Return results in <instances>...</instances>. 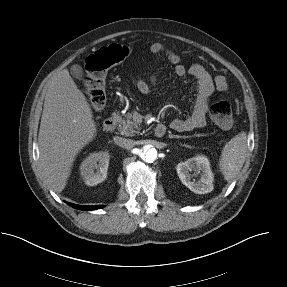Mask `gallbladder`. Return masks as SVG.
<instances>
[{"label":"gallbladder","instance_id":"bac80fb5","mask_svg":"<svg viewBox=\"0 0 287 287\" xmlns=\"http://www.w3.org/2000/svg\"><path fill=\"white\" fill-rule=\"evenodd\" d=\"M70 72L73 75V77L77 78V79H81L83 76V69L80 65H72L70 68Z\"/></svg>","mask_w":287,"mask_h":287}]
</instances>
